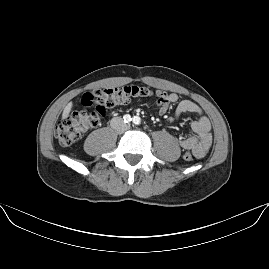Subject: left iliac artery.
<instances>
[{
    "mask_svg": "<svg viewBox=\"0 0 269 269\" xmlns=\"http://www.w3.org/2000/svg\"><path fill=\"white\" fill-rule=\"evenodd\" d=\"M133 123H134L135 125H139V124L141 123V119H140V117H138V116H134V118H133Z\"/></svg>",
    "mask_w": 269,
    "mask_h": 269,
    "instance_id": "obj_1",
    "label": "left iliac artery"
}]
</instances>
